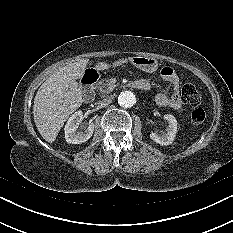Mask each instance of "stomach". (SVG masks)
I'll return each instance as SVG.
<instances>
[{
  "mask_svg": "<svg viewBox=\"0 0 233 233\" xmlns=\"http://www.w3.org/2000/svg\"><path fill=\"white\" fill-rule=\"evenodd\" d=\"M132 63L137 68L145 72H154L158 68V61L153 57L136 56L132 59Z\"/></svg>",
  "mask_w": 233,
  "mask_h": 233,
  "instance_id": "0dacf381",
  "label": "stomach"
}]
</instances>
